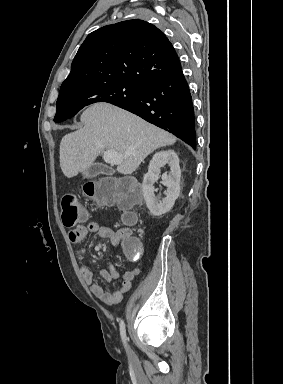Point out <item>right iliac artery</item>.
I'll list each match as a JSON object with an SVG mask.
<instances>
[{
  "mask_svg": "<svg viewBox=\"0 0 283 384\" xmlns=\"http://www.w3.org/2000/svg\"><path fill=\"white\" fill-rule=\"evenodd\" d=\"M120 334H121L122 341L126 346L127 336H126L125 324L123 321L120 322Z\"/></svg>",
  "mask_w": 283,
  "mask_h": 384,
  "instance_id": "82829eb1",
  "label": "right iliac artery"
}]
</instances>
